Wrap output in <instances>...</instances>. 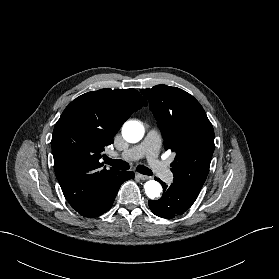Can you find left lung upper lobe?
Returning a JSON list of instances; mask_svg holds the SVG:
<instances>
[{"instance_id":"1","label":"left lung upper lobe","mask_w":279,"mask_h":279,"mask_svg":"<svg viewBox=\"0 0 279 279\" xmlns=\"http://www.w3.org/2000/svg\"><path fill=\"white\" fill-rule=\"evenodd\" d=\"M164 138L165 149L176 153L173 183L200 192L214 152V130L200 103L177 87L141 89Z\"/></svg>"}]
</instances>
